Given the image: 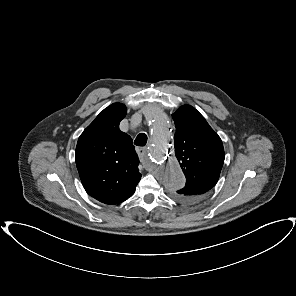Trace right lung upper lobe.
I'll return each instance as SVG.
<instances>
[{
    "label": "right lung upper lobe",
    "instance_id": "cb5924a9",
    "mask_svg": "<svg viewBox=\"0 0 296 296\" xmlns=\"http://www.w3.org/2000/svg\"><path fill=\"white\" fill-rule=\"evenodd\" d=\"M127 109L114 103L83 131L76 146V165L86 192L105 204L131 197L141 179L132 139L119 129Z\"/></svg>",
    "mask_w": 296,
    "mask_h": 296
}]
</instances>
